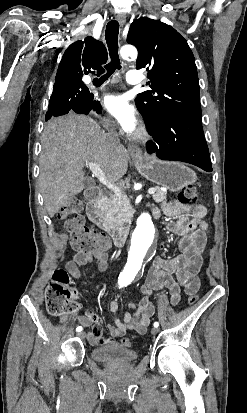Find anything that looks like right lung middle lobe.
Returning <instances> with one entry per match:
<instances>
[{"label": "right lung middle lobe", "instance_id": "1", "mask_svg": "<svg viewBox=\"0 0 247 413\" xmlns=\"http://www.w3.org/2000/svg\"><path fill=\"white\" fill-rule=\"evenodd\" d=\"M87 90L88 88L84 85L82 80L73 82H58L54 84L51 99L75 96L83 92H86Z\"/></svg>", "mask_w": 247, "mask_h": 413}]
</instances>
